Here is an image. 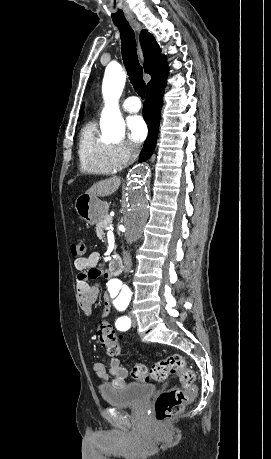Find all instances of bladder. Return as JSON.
Segmentation results:
<instances>
[{
  "label": "bladder",
  "mask_w": 271,
  "mask_h": 459,
  "mask_svg": "<svg viewBox=\"0 0 271 459\" xmlns=\"http://www.w3.org/2000/svg\"><path fill=\"white\" fill-rule=\"evenodd\" d=\"M153 391L154 384L136 382L125 384L121 389L103 390L102 395L109 405H141L145 399L150 398Z\"/></svg>",
  "instance_id": "bladder-1"
}]
</instances>
